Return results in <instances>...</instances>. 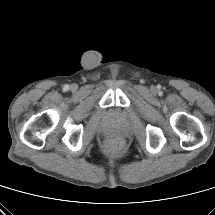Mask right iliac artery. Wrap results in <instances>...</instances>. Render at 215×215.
<instances>
[{"instance_id":"obj_1","label":"right iliac artery","mask_w":215,"mask_h":215,"mask_svg":"<svg viewBox=\"0 0 215 215\" xmlns=\"http://www.w3.org/2000/svg\"><path fill=\"white\" fill-rule=\"evenodd\" d=\"M68 89H69V85H65L63 88L64 91H67Z\"/></svg>"}]
</instances>
